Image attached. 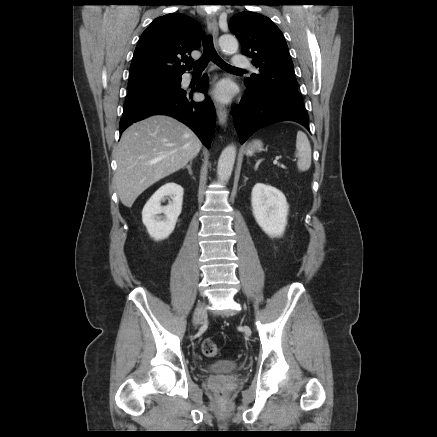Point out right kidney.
<instances>
[{
    "instance_id": "1",
    "label": "right kidney",
    "mask_w": 437,
    "mask_h": 437,
    "mask_svg": "<svg viewBox=\"0 0 437 437\" xmlns=\"http://www.w3.org/2000/svg\"><path fill=\"white\" fill-rule=\"evenodd\" d=\"M166 199L168 205L161 206ZM182 202L183 188L174 182L164 184L151 196L142 210V221L151 238L160 241L170 236L181 214Z\"/></svg>"
}]
</instances>
